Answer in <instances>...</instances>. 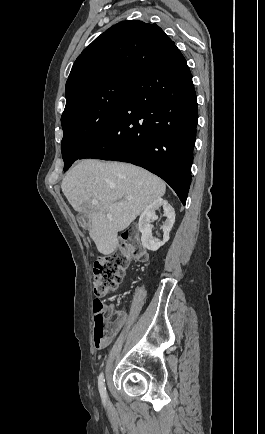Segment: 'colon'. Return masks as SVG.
Segmentation results:
<instances>
[{
  "label": "colon",
  "mask_w": 265,
  "mask_h": 434,
  "mask_svg": "<svg viewBox=\"0 0 265 434\" xmlns=\"http://www.w3.org/2000/svg\"><path fill=\"white\" fill-rule=\"evenodd\" d=\"M135 257H138L136 252ZM128 258L123 251H117L110 257H102L99 261L93 263V285L96 299L93 301V339L95 347H107L109 340L108 319L106 314H102L103 307L100 300L109 293L114 292L120 284Z\"/></svg>",
  "instance_id": "5ec220e1"
}]
</instances>
